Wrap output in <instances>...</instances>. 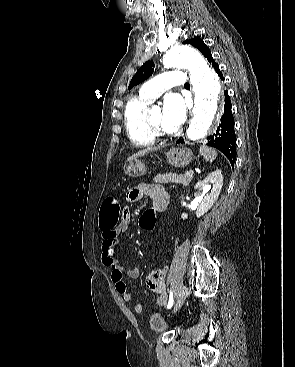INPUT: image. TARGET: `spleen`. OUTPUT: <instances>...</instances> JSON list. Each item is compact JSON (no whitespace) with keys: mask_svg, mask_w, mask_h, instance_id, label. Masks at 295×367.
I'll use <instances>...</instances> for the list:
<instances>
[{"mask_svg":"<svg viewBox=\"0 0 295 367\" xmlns=\"http://www.w3.org/2000/svg\"><path fill=\"white\" fill-rule=\"evenodd\" d=\"M200 154L203 156V158L207 161L212 163L216 157H217V152L216 150L207 147V146H201L200 147Z\"/></svg>","mask_w":295,"mask_h":367,"instance_id":"1","label":"spleen"}]
</instances>
